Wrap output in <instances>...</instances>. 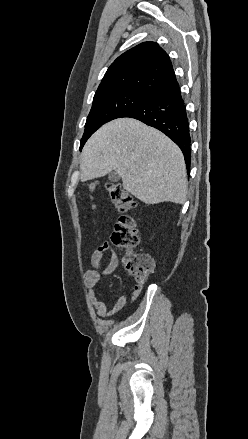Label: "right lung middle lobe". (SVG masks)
<instances>
[{
	"mask_svg": "<svg viewBox=\"0 0 248 439\" xmlns=\"http://www.w3.org/2000/svg\"><path fill=\"white\" fill-rule=\"evenodd\" d=\"M149 95L134 91L115 92L93 99L91 111L87 117L80 149L87 139L103 124L120 118L125 112L143 102Z\"/></svg>",
	"mask_w": 248,
	"mask_h": 439,
	"instance_id": "obj_1",
	"label": "right lung middle lobe"
}]
</instances>
